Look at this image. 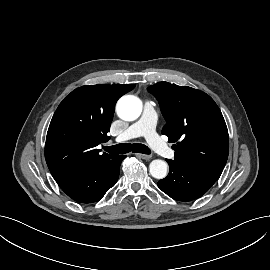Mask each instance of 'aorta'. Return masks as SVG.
I'll return each mask as SVG.
<instances>
[{"label": "aorta", "instance_id": "aorta-1", "mask_svg": "<svg viewBox=\"0 0 270 270\" xmlns=\"http://www.w3.org/2000/svg\"><path fill=\"white\" fill-rule=\"evenodd\" d=\"M118 116L125 121L136 120L142 112V102L133 95H126L119 99L116 106ZM168 165L163 160H153L149 165L152 177L163 179L167 176Z\"/></svg>", "mask_w": 270, "mask_h": 270}]
</instances>
